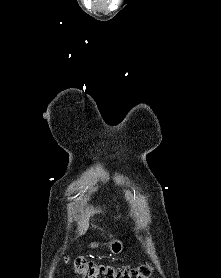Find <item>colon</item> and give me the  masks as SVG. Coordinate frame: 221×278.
Returning a JSON list of instances; mask_svg holds the SVG:
<instances>
[{"label":"colon","instance_id":"obj_1","mask_svg":"<svg viewBox=\"0 0 221 278\" xmlns=\"http://www.w3.org/2000/svg\"><path fill=\"white\" fill-rule=\"evenodd\" d=\"M74 269L83 278H150L151 268L144 264L139 267H114L99 265L83 258L72 262Z\"/></svg>","mask_w":221,"mask_h":278}]
</instances>
